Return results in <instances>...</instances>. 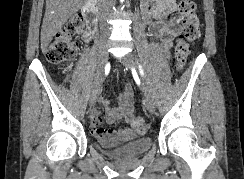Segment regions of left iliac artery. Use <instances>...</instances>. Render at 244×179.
<instances>
[{
    "mask_svg": "<svg viewBox=\"0 0 244 179\" xmlns=\"http://www.w3.org/2000/svg\"><path fill=\"white\" fill-rule=\"evenodd\" d=\"M139 68H140V72L143 74V71H142V69H141V66H139Z\"/></svg>",
    "mask_w": 244,
    "mask_h": 179,
    "instance_id": "obj_1",
    "label": "left iliac artery"
}]
</instances>
